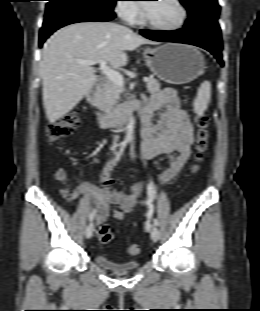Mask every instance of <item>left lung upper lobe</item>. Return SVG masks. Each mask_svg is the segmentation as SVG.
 Returning <instances> with one entry per match:
<instances>
[{"mask_svg":"<svg viewBox=\"0 0 260 311\" xmlns=\"http://www.w3.org/2000/svg\"><path fill=\"white\" fill-rule=\"evenodd\" d=\"M188 10L187 27H203L220 31L218 15L220 6L217 0H180Z\"/></svg>","mask_w":260,"mask_h":311,"instance_id":"5c2ea615","label":"left lung upper lobe"}]
</instances>
